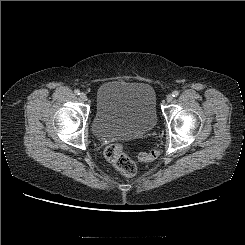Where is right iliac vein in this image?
Returning a JSON list of instances; mask_svg holds the SVG:
<instances>
[{"mask_svg": "<svg viewBox=\"0 0 245 245\" xmlns=\"http://www.w3.org/2000/svg\"><path fill=\"white\" fill-rule=\"evenodd\" d=\"M80 98L83 100V101H86L87 100V95L85 93H81L80 94Z\"/></svg>", "mask_w": 245, "mask_h": 245, "instance_id": "obj_1", "label": "right iliac vein"}]
</instances>
